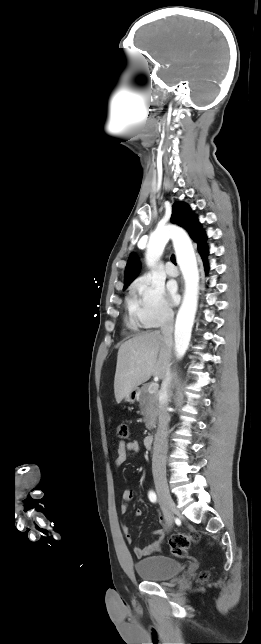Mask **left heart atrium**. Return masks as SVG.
Masks as SVG:
<instances>
[{
    "label": "left heart atrium",
    "mask_w": 261,
    "mask_h": 644,
    "mask_svg": "<svg viewBox=\"0 0 261 644\" xmlns=\"http://www.w3.org/2000/svg\"><path fill=\"white\" fill-rule=\"evenodd\" d=\"M169 293L173 302L178 300L177 287L174 283L169 286Z\"/></svg>",
    "instance_id": "1"
}]
</instances>
